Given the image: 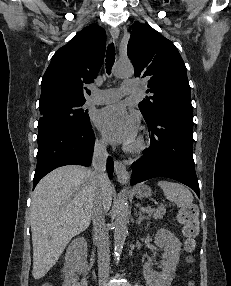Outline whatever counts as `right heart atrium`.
Here are the masks:
<instances>
[{
    "label": "right heart atrium",
    "mask_w": 231,
    "mask_h": 286,
    "mask_svg": "<svg viewBox=\"0 0 231 286\" xmlns=\"http://www.w3.org/2000/svg\"><path fill=\"white\" fill-rule=\"evenodd\" d=\"M96 145H97V147H99V148H104V147H105V141H104V139L98 138V139L96 140Z\"/></svg>",
    "instance_id": "obj_1"
}]
</instances>
